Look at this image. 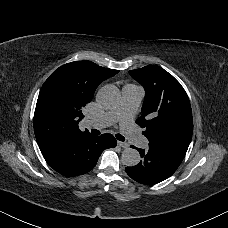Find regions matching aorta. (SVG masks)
Returning a JSON list of instances; mask_svg holds the SVG:
<instances>
[{
	"instance_id": "1",
	"label": "aorta",
	"mask_w": 228,
	"mask_h": 228,
	"mask_svg": "<svg viewBox=\"0 0 228 228\" xmlns=\"http://www.w3.org/2000/svg\"><path fill=\"white\" fill-rule=\"evenodd\" d=\"M96 100L103 108L113 109L119 103L120 92L113 85H105L98 91ZM140 159L139 152L133 148H126L121 155V162L128 167L137 165Z\"/></svg>"
}]
</instances>
